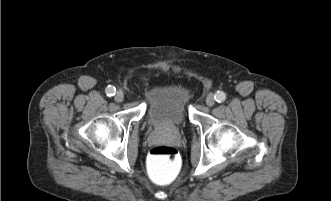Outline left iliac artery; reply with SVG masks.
Masks as SVG:
<instances>
[{
    "label": "left iliac artery",
    "instance_id": "obj_1",
    "mask_svg": "<svg viewBox=\"0 0 331 201\" xmlns=\"http://www.w3.org/2000/svg\"><path fill=\"white\" fill-rule=\"evenodd\" d=\"M214 98H215V100H216L217 102L221 103V102L225 101V99H226V95H225L224 92H222V91H218V92L215 94Z\"/></svg>",
    "mask_w": 331,
    "mask_h": 201
}]
</instances>
